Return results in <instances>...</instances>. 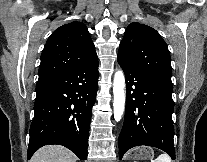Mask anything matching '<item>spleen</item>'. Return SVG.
Wrapping results in <instances>:
<instances>
[{"label": "spleen", "mask_w": 207, "mask_h": 162, "mask_svg": "<svg viewBox=\"0 0 207 162\" xmlns=\"http://www.w3.org/2000/svg\"><path fill=\"white\" fill-rule=\"evenodd\" d=\"M151 162H172V161L169 155L161 154L155 160H151Z\"/></svg>", "instance_id": "obj_1"}]
</instances>
